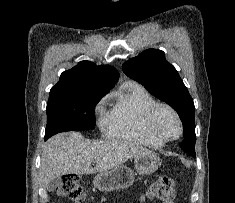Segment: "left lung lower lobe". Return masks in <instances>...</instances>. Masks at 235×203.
<instances>
[{
    "label": "left lung lower lobe",
    "instance_id": "left-lung-lower-lobe-1",
    "mask_svg": "<svg viewBox=\"0 0 235 203\" xmlns=\"http://www.w3.org/2000/svg\"><path fill=\"white\" fill-rule=\"evenodd\" d=\"M183 134H184V139H186V142L182 143V148L185 150V151H189V148L187 147L188 144L187 142H189V138L191 136V132L190 131H186V130H183Z\"/></svg>",
    "mask_w": 235,
    "mask_h": 203
}]
</instances>
